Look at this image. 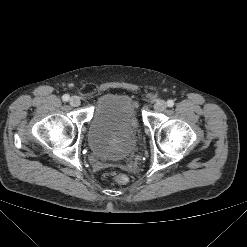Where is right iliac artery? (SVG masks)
I'll return each instance as SVG.
<instances>
[{
	"label": "right iliac artery",
	"instance_id": "1",
	"mask_svg": "<svg viewBox=\"0 0 247 247\" xmlns=\"http://www.w3.org/2000/svg\"><path fill=\"white\" fill-rule=\"evenodd\" d=\"M70 99V96L68 94L63 95L62 100L68 101Z\"/></svg>",
	"mask_w": 247,
	"mask_h": 247
}]
</instances>
